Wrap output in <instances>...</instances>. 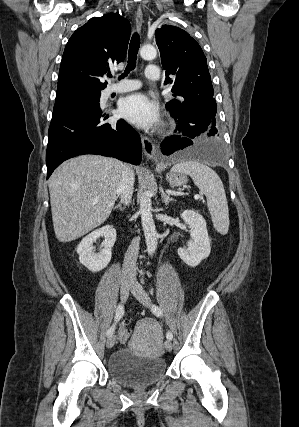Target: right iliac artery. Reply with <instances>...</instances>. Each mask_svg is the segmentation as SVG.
Wrapping results in <instances>:
<instances>
[{
    "mask_svg": "<svg viewBox=\"0 0 299 427\" xmlns=\"http://www.w3.org/2000/svg\"><path fill=\"white\" fill-rule=\"evenodd\" d=\"M123 315H124V307L122 305H118V307L116 309V314H115V320H114L115 322L107 331L108 337L113 335V332L115 330V325L123 317Z\"/></svg>",
    "mask_w": 299,
    "mask_h": 427,
    "instance_id": "obj_1",
    "label": "right iliac artery"
}]
</instances>
